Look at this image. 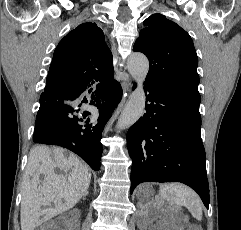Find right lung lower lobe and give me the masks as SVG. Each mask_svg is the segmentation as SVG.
Masks as SVG:
<instances>
[{"mask_svg":"<svg viewBox=\"0 0 241 230\" xmlns=\"http://www.w3.org/2000/svg\"><path fill=\"white\" fill-rule=\"evenodd\" d=\"M87 96L92 99L90 104L99 109V116L91 121L80 117L79 107L87 103ZM121 96V85L115 80L62 99L41 96L33 141L65 147L78 154L93 170H99L102 131Z\"/></svg>","mask_w":241,"mask_h":230,"instance_id":"obj_1","label":"right lung lower lobe"}]
</instances>
